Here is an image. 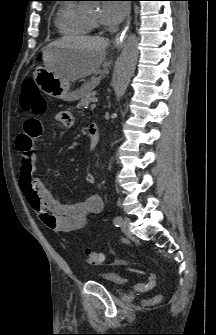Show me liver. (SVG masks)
I'll return each mask as SVG.
<instances>
[{"mask_svg": "<svg viewBox=\"0 0 216 335\" xmlns=\"http://www.w3.org/2000/svg\"><path fill=\"white\" fill-rule=\"evenodd\" d=\"M108 39L101 37H63L50 44V46L73 48L77 53L72 56L70 63L61 73L70 81H74L99 71L106 57Z\"/></svg>", "mask_w": 216, "mask_h": 335, "instance_id": "1", "label": "liver"}]
</instances>
